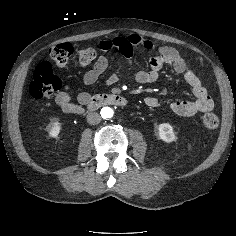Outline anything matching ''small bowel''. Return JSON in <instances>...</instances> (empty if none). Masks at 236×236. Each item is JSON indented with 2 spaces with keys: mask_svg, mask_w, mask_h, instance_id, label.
Wrapping results in <instances>:
<instances>
[{
  "mask_svg": "<svg viewBox=\"0 0 236 236\" xmlns=\"http://www.w3.org/2000/svg\"><path fill=\"white\" fill-rule=\"evenodd\" d=\"M136 47H141L146 51L156 53L149 61V68L147 70H140L135 74V80L138 83L148 84L157 81L163 65H169L176 73L183 75L184 80L190 86L195 99L174 101L171 104V109L175 114L191 117L199 113L213 110L214 102L212 98L208 95L199 77L189 69L187 62L177 50L167 46H158L153 40L142 38L135 34H131L127 37L118 36L112 40L101 41L99 48L102 54L98 57L92 69L84 74V84H94L107 70L109 61L105 55L106 52L118 50L131 63L133 51ZM118 80V74L113 73L107 78L106 85L111 86L117 83ZM88 97L89 94L80 93L77 97V103H75L69 92V86H65V88L56 95L55 102L66 114H81L83 111L82 106L85 104ZM145 104L150 107H157L160 104V100L157 97L149 96L145 98Z\"/></svg>",
  "mask_w": 236,
  "mask_h": 236,
  "instance_id": "small-bowel-1",
  "label": "small bowel"
}]
</instances>
